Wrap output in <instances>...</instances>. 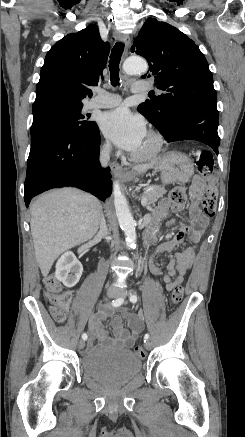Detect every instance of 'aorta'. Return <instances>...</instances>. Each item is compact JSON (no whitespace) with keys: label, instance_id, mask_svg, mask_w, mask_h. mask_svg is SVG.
I'll return each mask as SVG.
<instances>
[{"label":"aorta","instance_id":"aorta-1","mask_svg":"<svg viewBox=\"0 0 245 437\" xmlns=\"http://www.w3.org/2000/svg\"><path fill=\"white\" fill-rule=\"evenodd\" d=\"M123 69L128 75L144 74L148 70V65L141 57H130L124 62ZM113 195L116 216L121 229L124 231L127 246L134 248L136 246V223L118 181L113 183Z\"/></svg>","mask_w":245,"mask_h":437}]
</instances>
